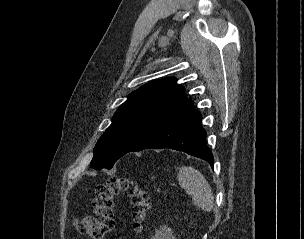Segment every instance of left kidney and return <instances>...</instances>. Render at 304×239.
Instances as JSON below:
<instances>
[{"mask_svg": "<svg viewBox=\"0 0 304 239\" xmlns=\"http://www.w3.org/2000/svg\"><path fill=\"white\" fill-rule=\"evenodd\" d=\"M151 239H176L172 230L168 226H161L159 230H156L155 236Z\"/></svg>", "mask_w": 304, "mask_h": 239, "instance_id": "left-kidney-1", "label": "left kidney"}]
</instances>
